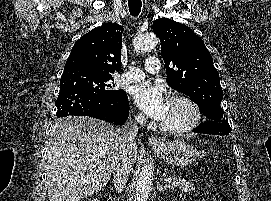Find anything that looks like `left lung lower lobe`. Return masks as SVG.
<instances>
[{
  "instance_id": "0a47b994",
  "label": "left lung lower lobe",
  "mask_w": 271,
  "mask_h": 201,
  "mask_svg": "<svg viewBox=\"0 0 271 201\" xmlns=\"http://www.w3.org/2000/svg\"><path fill=\"white\" fill-rule=\"evenodd\" d=\"M193 132L197 133H205V134H214L215 133H220V129L214 125H202L194 128L192 130Z\"/></svg>"
}]
</instances>
